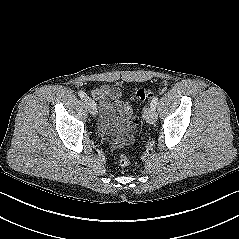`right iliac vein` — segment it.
Instances as JSON below:
<instances>
[{
	"label": "right iliac vein",
	"instance_id": "obj_1",
	"mask_svg": "<svg viewBox=\"0 0 239 239\" xmlns=\"http://www.w3.org/2000/svg\"><path fill=\"white\" fill-rule=\"evenodd\" d=\"M85 103L87 105V108H88V111L90 112V114L96 115L97 114L96 103L90 97H86Z\"/></svg>",
	"mask_w": 239,
	"mask_h": 239
}]
</instances>
